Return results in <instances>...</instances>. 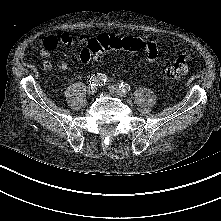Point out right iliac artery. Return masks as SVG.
<instances>
[{"mask_svg":"<svg viewBox=\"0 0 221 221\" xmlns=\"http://www.w3.org/2000/svg\"><path fill=\"white\" fill-rule=\"evenodd\" d=\"M108 78L105 74L97 73L91 76L90 84L93 86H100L107 82Z\"/></svg>","mask_w":221,"mask_h":221,"instance_id":"82829eb1","label":"right iliac artery"}]
</instances>
